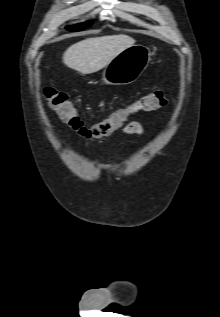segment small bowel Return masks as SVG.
<instances>
[{
  "mask_svg": "<svg viewBox=\"0 0 220 317\" xmlns=\"http://www.w3.org/2000/svg\"><path fill=\"white\" fill-rule=\"evenodd\" d=\"M121 131L127 135H140L143 131V126L140 122L138 121H131L125 124L122 128ZM81 135L87 137V138H92V139H100V140H105L108 138V135L106 136H96L93 135L90 130H87L85 132L80 133Z\"/></svg>",
  "mask_w": 220,
  "mask_h": 317,
  "instance_id": "obj_1",
  "label": "small bowel"
}]
</instances>
